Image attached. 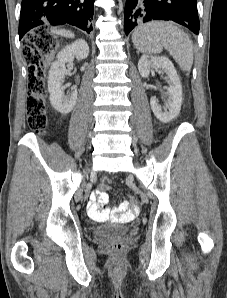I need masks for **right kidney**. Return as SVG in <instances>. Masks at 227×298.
<instances>
[{"instance_id": "obj_1", "label": "right kidney", "mask_w": 227, "mask_h": 298, "mask_svg": "<svg viewBox=\"0 0 227 298\" xmlns=\"http://www.w3.org/2000/svg\"><path fill=\"white\" fill-rule=\"evenodd\" d=\"M89 55L88 44L82 40H76L71 45L65 46L57 55V60L52 63L48 76V91L52 107L61 114L70 113L77 100V91L69 95L64 94V78L67 74L65 64L77 60L86 59Z\"/></svg>"}]
</instances>
